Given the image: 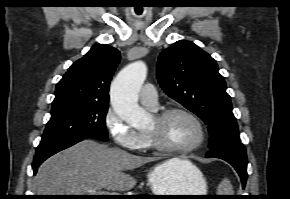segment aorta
<instances>
[{
    "label": "aorta",
    "instance_id": "762f6f07",
    "mask_svg": "<svg viewBox=\"0 0 290 199\" xmlns=\"http://www.w3.org/2000/svg\"><path fill=\"white\" fill-rule=\"evenodd\" d=\"M147 76L144 62L136 61L121 70L111 85V104L130 126L140 129L150 122L149 114L138 105V93Z\"/></svg>",
    "mask_w": 290,
    "mask_h": 199
}]
</instances>
